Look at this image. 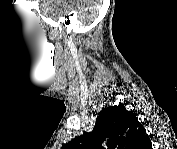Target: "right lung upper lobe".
Segmentation results:
<instances>
[{
  "instance_id": "1",
  "label": "right lung upper lobe",
  "mask_w": 177,
  "mask_h": 149,
  "mask_svg": "<svg viewBox=\"0 0 177 149\" xmlns=\"http://www.w3.org/2000/svg\"><path fill=\"white\" fill-rule=\"evenodd\" d=\"M150 143L137 114L123 105L107 107L98 113L92 132L66 143L64 149H148Z\"/></svg>"
}]
</instances>
